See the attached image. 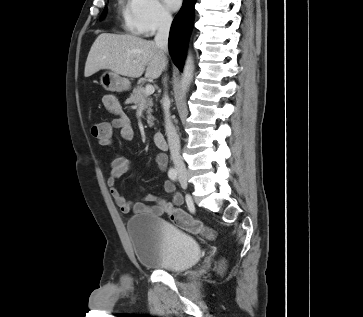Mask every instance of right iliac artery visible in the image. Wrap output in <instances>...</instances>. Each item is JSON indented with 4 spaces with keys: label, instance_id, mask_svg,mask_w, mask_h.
Returning a JSON list of instances; mask_svg holds the SVG:
<instances>
[{
    "label": "right iliac artery",
    "instance_id": "82829eb1",
    "mask_svg": "<svg viewBox=\"0 0 363 317\" xmlns=\"http://www.w3.org/2000/svg\"><path fill=\"white\" fill-rule=\"evenodd\" d=\"M168 176L171 180L176 181L177 179V171L176 170H170L168 172Z\"/></svg>",
    "mask_w": 363,
    "mask_h": 317
}]
</instances>
